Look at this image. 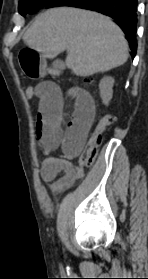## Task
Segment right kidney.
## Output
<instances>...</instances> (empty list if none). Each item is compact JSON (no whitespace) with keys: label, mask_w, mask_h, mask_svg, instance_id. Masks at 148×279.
I'll return each mask as SVG.
<instances>
[{"label":"right kidney","mask_w":148,"mask_h":279,"mask_svg":"<svg viewBox=\"0 0 148 279\" xmlns=\"http://www.w3.org/2000/svg\"><path fill=\"white\" fill-rule=\"evenodd\" d=\"M113 84L114 79L109 76H105L101 79L99 84L100 96L103 104L108 105L113 96Z\"/></svg>","instance_id":"ca27d5eb"}]
</instances>
